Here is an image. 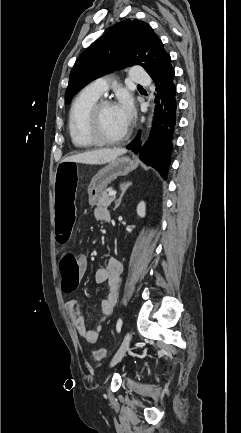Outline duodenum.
I'll use <instances>...</instances> for the list:
<instances>
[{"instance_id":"obj_1","label":"duodenum","mask_w":241,"mask_h":433,"mask_svg":"<svg viewBox=\"0 0 241 433\" xmlns=\"http://www.w3.org/2000/svg\"><path fill=\"white\" fill-rule=\"evenodd\" d=\"M107 221L109 222V221H110V218H109V219H107Z\"/></svg>"}]
</instances>
